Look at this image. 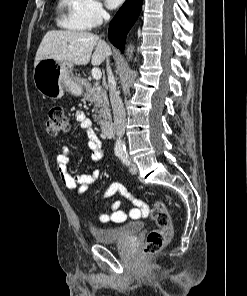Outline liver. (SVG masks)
Masks as SVG:
<instances>
[{"mask_svg":"<svg viewBox=\"0 0 247 296\" xmlns=\"http://www.w3.org/2000/svg\"><path fill=\"white\" fill-rule=\"evenodd\" d=\"M94 51V52H93ZM111 54L109 45L97 35L73 30L48 31L36 53V65L42 59L100 65Z\"/></svg>","mask_w":247,"mask_h":296,"instance_id":"1","label":"liver"}]
</instances>
